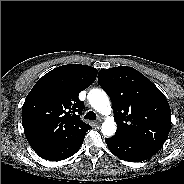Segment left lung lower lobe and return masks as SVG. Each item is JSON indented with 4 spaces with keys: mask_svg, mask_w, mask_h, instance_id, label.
I'll use <instances>...</instances> for the list:
<instances>
[{
    "mask_svg": "<svg viewBox=\"0 0 184 184\" xmlns=\"http://www.w3.org/2000/svg\"><path fill=\"white\" fill-rule=\"evenodd\" d=\"M105 142L114 155L129 162L144 161L156 153L152 148L117 132L111 138H106Z\"/></svg>",
    "mask_w": 184,
    "mask_h": 184,
    "instance_id": "1",
    "label": "left lung lower lobe"
}]
</instances>
